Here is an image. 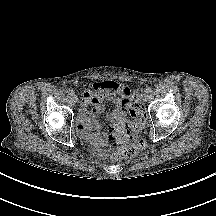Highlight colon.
<instances>
[{
  "label": "colon",
  "instance_id": "colon-1",
  "mask_svg": "<svg viewBox=\"0 0 216 216\" xmlns=\"http://www.w3.org/2000/svg\"><path fill=\"white\" fill-rule=\"evenodd\" d=\"M129 119L118 118L109 126V140L115 152V160L131 158L138 154L144 147L145 142L136 134L143 128L147 114L145 107L139 100V94L134 93L128 104Z\"/></svg>",
  "mask_w": 216,
  "mask_h": 216
}]
</instances>
